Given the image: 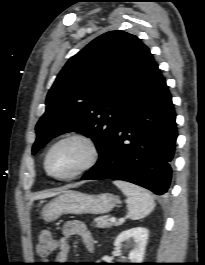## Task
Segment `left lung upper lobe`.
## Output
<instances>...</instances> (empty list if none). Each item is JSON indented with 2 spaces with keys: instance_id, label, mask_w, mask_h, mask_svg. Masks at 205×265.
I'll return each mask as SVG.
<instances>
[{
  "instance_id": "5c2ea615",
  "label": "left lung upper lobe",
  "mask_w": 205,
  "mask_h": 265,
  "mask_svg": "<svg viewBox=\"0 0 205 265\" xmlns=\"http://www.w3.org/2000/svg\"><path fill=\"white\" fill-rule=\"evenodd\" d=\"M156 64L135 35L110 31L94 39L66 63L49 90L32 153L52 138L76 131L92 138L101 155Z\"/></svg>"
}]
</instances>
